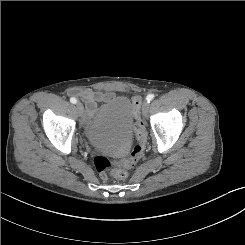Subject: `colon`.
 Wrapping results in <instances>:
<instances>
[{
	"label": "colon",
	"instance_id": "1",
	"mask_svg": "<svg viewBox=\"0 0 245 245\" xmlns=\"http://www.w3.org/2000/svg\"><path fill=\"white\" fill-rule=\"evenodd\" d=\"M132 111L135 117V132L138 142L132 148L129 158L121 161L118 165L100 154H96L93 158L97 171L104 178L108 176L118 179L127 178L128 170L132 169L144 155V149L147 142V132L144 118L141 115V98L138 96L132 98Z\"/></svg>",
	"mask_w": 245,
	"mask_h": 245
}]
</instances>
